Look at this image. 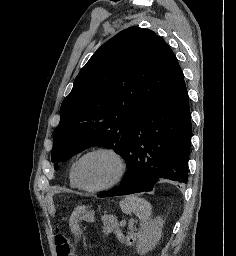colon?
I'll list each match as a JSON object with an SVG mask.
<instances>
[{
  "label": "colon",
  "mask_w": 236,
  "mask_h": 256,
  "mask_svg": "<svg viewBox=\"0 0 236 256\" xmlns=\"http://www.w3.org/2000/svg\"><path fill=\"white\" fill-rule=\"evenodd\" d=\"M54 242L57 256H73L68 237L63 233L60 225L55 227Z\"/></svg>",
  "instance_id": "colon-1"
}]
</instances>
